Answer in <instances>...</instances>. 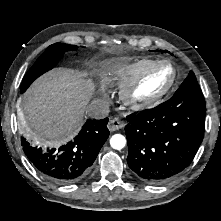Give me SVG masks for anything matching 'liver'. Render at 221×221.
Returning <instances> with one entry per match:
<instances>
[{"label": "liver", "mask_w": 221, "mask_h": 221, "mask_svg": "<svg viewBox=\"0 0 221 221\" xmlns=\"http://www.w3.org/2000/svg\"><path fill=\"white\" fill-rule=\"evenodd\" d=\"M107 78L101 82L105 88ZM95 91L85 73L54 69L38 78L20 101L18 116L24 132L36 141H66L79 131L84 113Z\"/></svg>", "instance_id": "1"}]
</instances>
